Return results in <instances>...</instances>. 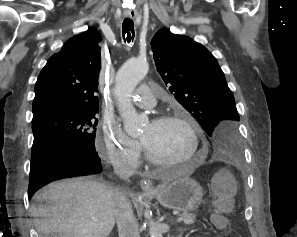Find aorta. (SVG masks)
<instances>
[{"label":"aorta","mask_w":297,"mask_h":237,"mask_svg":"<svg viewBox=\"0 0 297 237\" xmlns=\"http://www.w3.org/2000/svg\"><path fill=\"white\" fill-rule=\"evenodd\" d=\"M149 65L143 59H130L116 74L115 95L118 110L123 118L124 130L130 136L140 134L147 118L138 114L131 103V95L139 82L147 75ZM150 237H163L154 221L148 218Z\"/></svg>","instance_id":"762f6f07"}]
</instances>
